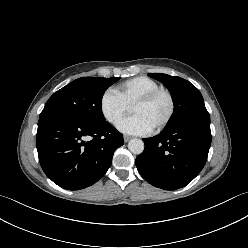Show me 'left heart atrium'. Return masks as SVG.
<instances>
[{
  "instance_id": "obj_1",
  "label": "left heart atrium",
  "mask_w": 248,
  "mask_h": 248,
  "mask_svg": "<svg viewBox=\"0 0 248 248\" xmlns=\"http://www.w3.org/2000/svg\"><path fill=\"white\" fill-rule=\"evenodd\" d=\"M117 128L131 135H146L152 131L151 126L140 115H132L121 120Z\"/></svg>"
}]
</instances>
